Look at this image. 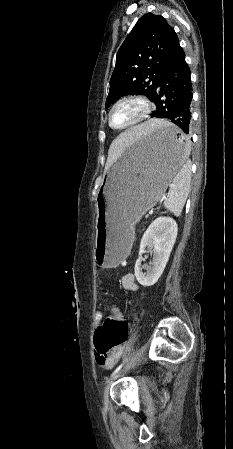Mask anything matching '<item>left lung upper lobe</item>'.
<instances>
[{
  "label": "left lung upper lobe",
  "mask_w": 233,
  "mask_h": 449,
  "mask_svg": "<svg viewBox=\"0 0 233 449\" xmlns=\"http://www.w3.org/2000/svg\"><path fill=\"white\" fill-rule=\"evenodd\" d=\"M182 51L174 29L160 15H143L121 45L105 108L129 94L152 99L164 70Z\"/></svg>",
  "instance_id": "obj_1"
}]
</instances>
